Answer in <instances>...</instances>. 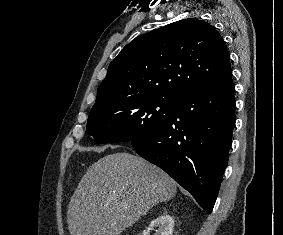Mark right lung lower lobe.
<instances>
[{"label":"right lung lower lobe","instance_id":"obj_1","mask_svg":"<svg viewBox=\"0 0 283 235\" xmlns=\"http://www.w3.org/2000/svg\"><path fill=\"white\" fill-rule=\"evenodd\" d=\"M235 121L230 75L179 95L169 119L131 143L140 156L168 173L211 213L228 161Z\"/></svg>","mask_w":283,"mask_h":235}]
</instances>
